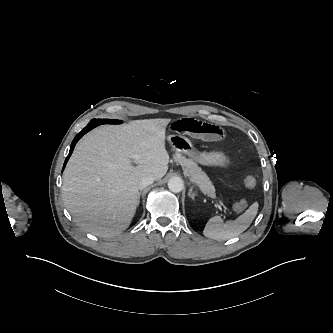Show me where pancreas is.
Returning <instances> with one entry per match:
<instances>
[{
	"label": "pancreas",
	"mask_w": 333,
	"mask_h": 333,
	"mask_svg": "<svg viewBox=\"0 0 333 333\" xmlns=\"http://www.w3.org/2000/svg\"><path fill=\"white\" fill-rule=\"evenodd\" d=\"M175 161L179 162L186 176L189 177L190 181L196 184L205 194L215 195V188L213 183L206 175L204 171L192 160L187 159L185 156L181 154H176L174 156Z\"/></svg>",
	"instance_id": "1"
}]
</instances>
